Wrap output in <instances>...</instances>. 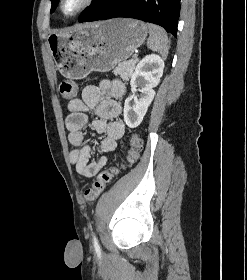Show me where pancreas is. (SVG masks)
I'll list each match as a JSON object with an SVG mask.
<instances>
[{"mask_svg": "<svg viewBox=\"0 0 247 280\" xmlns=\"http://www.w3.org/2000/svg\"><path fill=\"white\" fill-rule=\"evenodd\" d=\"M137 62L138 59L122 62L113 70V73L120 75L123 80H129L132 77Z\"/></svg>", "mask_w": 247, "mask_h": 280, "instance_id": "cf45deb5", "label": "pancreas"}]
</instances>
